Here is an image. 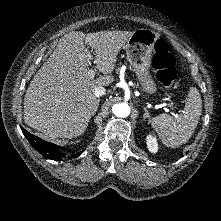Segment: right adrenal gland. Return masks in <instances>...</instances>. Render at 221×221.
<instances>
[{
    "instance_id": "obj_1",
    "label": "right adrenal gland",
    "mask_w": 221,
    "mask_h": 221,
    "mask_svg": "<svg viewBox=\"0 0 221 221\" xmlns=\"http://www.w3.org/2000/svg\"><path fill=\"white\" fill-rule=\"evenodd\" d=\"M99 102H100V99L97 100L98 105H99ZM94 114H95V113H94Z\"/></svg>"
}]
</instances>
